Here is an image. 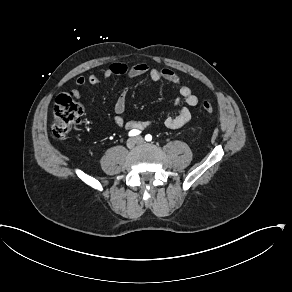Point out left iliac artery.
<instances>
[{"mask_svg": "<svg viewBox=\"0 0 292 292\" xmlns=\"http://www.w3.org/2000/svg\"><path fill=\"white\" fill-rule=\"evenodd\" d=\"M145 140L146 141H151L152 140V135H150V134H147L146 136H145Z\"/></svg>", "mask_w": 292, "mask_h": 292, "instance_id": "obj_1", "label": "left iliac artery"}]
</instances>
